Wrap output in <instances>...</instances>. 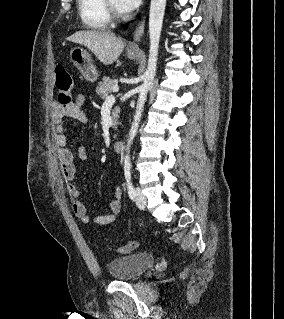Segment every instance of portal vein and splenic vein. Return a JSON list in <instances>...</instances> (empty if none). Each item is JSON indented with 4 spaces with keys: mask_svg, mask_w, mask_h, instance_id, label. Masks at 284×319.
<instances>
[{
    "mask_svg": "<svg viewBox=\"0 0 284 319\" xmlns=\"http://www.w3.org/2000/svg\"><path fill=\"white\" fill-rule=\"evenodd\" d=\"M118 90H119L118 86H113V88H112L113 92H118ZM105 101L106 102H114L115 101V97L113 95H109V96H107Z\"/></svg>",
    "mask_w": 284,
    "mask_h": 319,
    "instance_id": "obj_1",
    "label": "portal vein and splenic vein"
}]
</instances>
